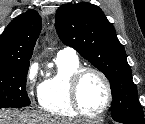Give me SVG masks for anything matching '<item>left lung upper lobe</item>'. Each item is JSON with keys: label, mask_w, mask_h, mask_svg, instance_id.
Here are the masks:
<instances>
[{"label": "left lung upper lobe", "mask_w": 145, "mask_h": 124, "mask_svg": "<svg viewBox=\"0 0 145 124\" xmlns=\"http://www.w3.org/2000/svg\"><path fill=\"white\" fill-rule=\"evenodd\" d=\"M56 30L109 80L112 118L126 124H145L123 45L102 10L90 3L63 4L56 13Z\"/></svg>", "instance_id": "1"}]
</instances>
